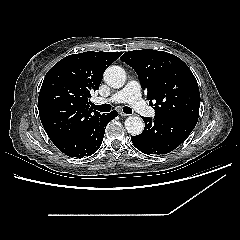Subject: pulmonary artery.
Segmentation results:
<instances>
[{
	"instance_id": "1",
	"label": "pulmonary artery",
	"mask_w": 240,
	"mask_h": 240,
	"mask_svg": "<svg viewBox=\"0 0 240 240\" xmlns=\"http://www.w3.org/2000/svg\"><path fill=\"white\" fill-rule=\"evenodd\" d=\"M140 90H141L140 84L137 81L132 80L128 82L123 89L114 93L110 98L96 97L95 102L98 104L108 102L112 103L127 102L134 110H136L140 114L147 117H154L155 111L148 107L145 101L141 98Z\"/></svg>"
}]
</instances>
